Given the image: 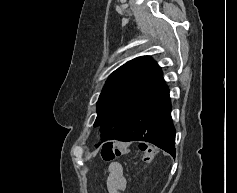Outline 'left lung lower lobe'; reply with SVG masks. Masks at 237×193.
I'll list each match as a JSON object with an SVG mask.
<instances>
[{
	"instance_id": "left-lung-lower-lobe-1",
	"label": "left lung lower lobe",
	"mask_w": 237,
	"mask_h": 193,
	"mask_svg": "<svg viewBox=\"0 0 237 193\" xmlns=\"http://www.w3.org/2000/svg\"><path fill=\"white\" fill-rule=\"evenodd\" d=\"M116 140L149 142L175 157V128L171 118L169 89L163 77L141 98Z\"/></svg>"
}]
</instances>
